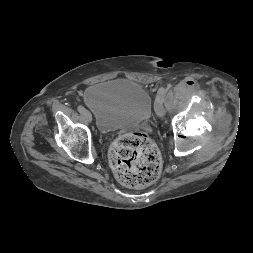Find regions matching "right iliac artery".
Returning a JSON list of instances; mask_svg holds the SVG:
<instances>
[{
    "label": "right iliac artery",
    "instance_id": "1",
    "mask_svg": "<svg viewBox=\"0 0 253 253\" xmlns=\"http://www.w3.org/2000/svg\"><path fill=\"white\" fill-rule=\"evenodd\" d=\"M77 110L80 112V113H83L86 109L82 106V105H79L77 107Z\"/></svg>",
    "mask_w": 253,
    "mask_h": 253
}]
</instances>
